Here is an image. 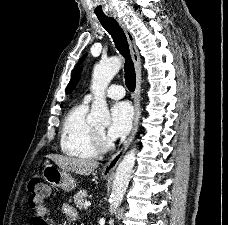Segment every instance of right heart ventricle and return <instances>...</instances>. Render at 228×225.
I'll return each instance as SVG.
<instances>
[{"label":"right heart ventricle","mask_w":228,"mask_h":225,"mask_svg":"<svg viewBox=\"0 0 228 225\" xmlns=\"http://www.w3.org/2000/svg\"><path fill=\"white\" fill-rule=\"evenodd\" d=\"M88 103H76L67 112L61 130L60 149L69 157L91 159L100 154L95 128L87 121Z\"/></svg>","instance_id":"e07e8e85"}]
</instances>
